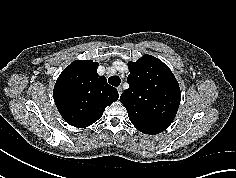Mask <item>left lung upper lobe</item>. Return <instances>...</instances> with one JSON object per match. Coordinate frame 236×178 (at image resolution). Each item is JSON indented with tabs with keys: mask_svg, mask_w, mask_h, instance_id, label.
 <instances>
[{
	"mask_svg": "<svg viewBox=\"0 0 236 178\" xmlns=\"http://www.w3.org/2000/svg\"><path fill=\"white\" fill-rule=\"evenodd\" d=\"M129 89L120 96L132 124L142 133L158 134L173 121L181 100L179 84L161 60L145 55L128 63Z\"/></svg>",
	"mask_w": 236,
	"mask_h": 178,
	"instance_id": "5c2ea615",
	"label": "left lung upper lobe"
}]
</instances>
